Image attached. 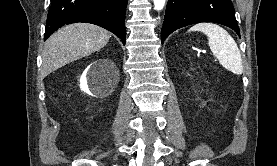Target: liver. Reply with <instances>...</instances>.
Instances as JSON below:
<instances>
[{
    "instance_id": "obj_1",
    "label": "liver",
    "mask_w": 277,
    "mask_h": 166,
    "mask_svg": "<svg viewBox=\"0 0 277 166\" xmlns=\"http://www.w3.org/2000/svg\"><path fill=\"white\" fill-rule=\"evenodd\" d=\"M111 37L109 31L89 23H75L56 31L43 49L41 76L99 51Z\"/></svg>"
}]
</instances>
